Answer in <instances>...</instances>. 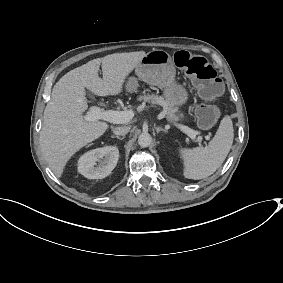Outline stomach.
Returning a JSON list of instances; mask_svg holds the SVG:
<instances>
[{
    "mask_svg": "<svg viewBox=\"0 0 283 283\" xmlns=\"http://www.w3.org/2000/svg\"><path fill=\"white\" fill-rule=\"evenodd\" d=\"M136 77H129L126 81V91L133 93L138 88V79L149 85L163 88L164 96L173 106L186 103L188 93L186 89L175 81L176 69L171 56L164 50H152L145 54L135 68ZM178 120L182 114L176 115Z\"/></svg>",
    "mask_w": 283,
    "mask_h": 283,
    "instance_id": "obj_1",
    "label": "stomach"
}]
</instances>
